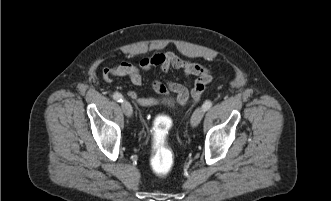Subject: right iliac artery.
Masks as SVG:
<instances>
[{
    "instance_id": "obj_1",
    "label": "right iliac artery",
    "mask_w": 331,
    "mask_h": 201,
    "mask_svg": "<svg viewBox=\"0 0 331 201\" xmlns=\"http://www.w3.org/2000/svg\"><path fill=\"white\" fill-rule=\"evenodd\" d=\"M113 99L117 102H123V96L118 92L113 94Z\"/></svg>"
}]
</instances>
